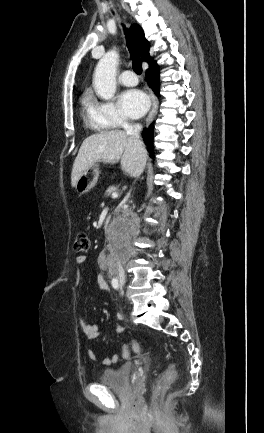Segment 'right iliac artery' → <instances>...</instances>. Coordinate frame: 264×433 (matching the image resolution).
I'll return each mask as SVG.
<instances>
[{
  "mask_svg": "<svg viewBox=\"0 0 264 433\" xmlns=\"http://www.w3.org/2000/svg\"><path fill=\"white\" fill-rule=\"evenodd\" d=\"M111 284H112L114 289L119 288V280L117 278H113Z\"/></svg>",
  "mask_w": 264,
  "mask_h": 433,
  "instance_id": "right-iliac-artery-1",
  "label": "right iliac artery"
}]
</instances>
